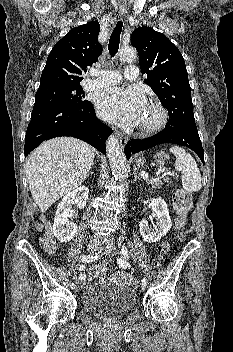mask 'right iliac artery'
I'll return each mask as SVG.
<instances>
[{
	"label": "right iliac artery",
	"instance_id": "obj_1",
	"mask_svg": "<svg viewBox=\"0 0 233 352\" xmlns=\"http://www.w3.org/2000/svg\"><path fill=\"white\" fill-rule=\"evenodd\" d=\"M107 250V249H106ZM100 257V253L99 254H95V255H82L80 256V260L82 262H93L95 260H97ZM76 287V285L74 283L70 284V288L74 289Z\"/></svg>",
	"mask_w": 233,
	"mask_h": 352
}]
</instances>
